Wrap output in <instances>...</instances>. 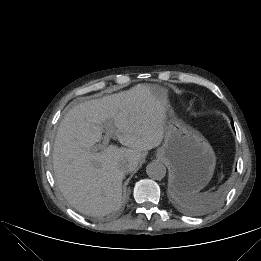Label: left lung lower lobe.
Wrapping results in <instances>:
<instances>
[{
  "mask_svg": "<svg viewBox=\"0 0 261 261\" xmlns=\"http://www.w3.org/2000/svg\"><path fill=\"white\" fill-rule=\"evenodd\" d=\"M231 124H232V126H233V128H234V124H233V121H231Z\"/></svg>",
  "mask_w": 261,
  "mask_h": 261,
  "instance_id": "0a47b994",
  "label": "left lung lower lobe"
}]
</instances>
